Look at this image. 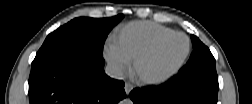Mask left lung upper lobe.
Returning a JSON list of instances; mask_svg holds the SVG:
<instances>
[{
	"mask_svg": "<svg viewBox=\"0 0 252 104\" xmlns=\"http://www.w3.org/2000/svg\"><path fill=\"white\" fill-rule=\"evenodd\" d=\"M191 40L193 52L187 64L179 72H188L204 68H216L215 58L209 48L194 35H191Z\"/></svg>",
	"mask_w": 252,
	"mask_h": 104,
	"instance_id": "left-lung-upper-lobe-1",
	"label": "left lung upper lobe"
}]
</instances>
